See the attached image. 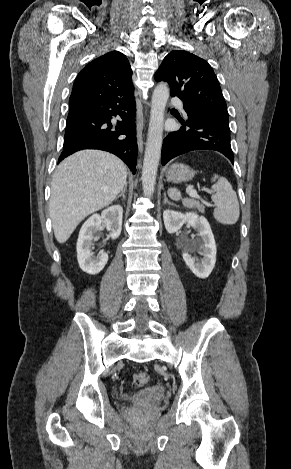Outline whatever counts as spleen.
Segmentation results:
<instances>
[{
    "instance_id": "1",
    "label": "spleen",
    "mask_w": 291,
    "mask_h": 469,
    "mask_svg": "<svg viewBox=\"0 0 291 469\" xmlns=\"http://www.w3.org/2000/svg\"><path fill=\"white\" fill-rule=\"evenodd\" d=\"M216 179L218 180L211 189V199L216 205L213 213L214 218L222 224H235L240 215L236 192L226 178L214 175L212 180L216 181ZM168 195L173 200H179L181 197L180 192L173 188L168 190Z\"/></svg>"
}]
</instances>
